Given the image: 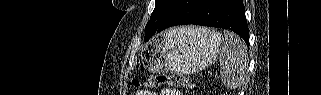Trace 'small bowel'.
Listing matches in <instances>:
<instances>
[{
    "instance_id": "small-bowel-1",
    "label": "small bowel",
    "mask_w": 321,
    "mask_h": 95,
    "mask_svg": "<svg viewBox=\"0 0 321 95\" xmlns=\"http://www.w3.org/2000/svg\"><path fill=\"white\" fill-rule=\"evenodd\" d=\"M147 93H142V95H146ZM162 95H178V92H176L175 90H170L167 89L165 90Z\"/></svg>"
}]
</instances>
